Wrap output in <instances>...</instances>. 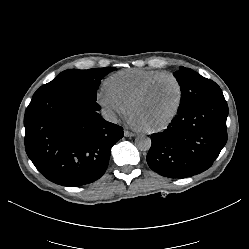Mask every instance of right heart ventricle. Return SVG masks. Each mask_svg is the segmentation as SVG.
Here are the masks:
<instances>
[{"label": "right heart ventricle", "instance_id": "e07e8e85", "mask_svg": "<svg viewBox=\"0 0 249 249\" xmlns=\"http://www.w3.org/2000/svg\"><path fill=\"white\" fill-rule=\"evenodd\" d=\"M164 73L157 69L131 68L115 72L104 81V88L125 103L152 77Z\"/></svg>", "mask_w": 249, "mask_h": 249}]
</instances>
